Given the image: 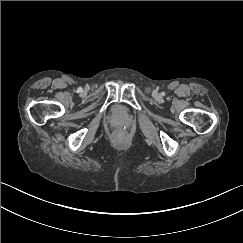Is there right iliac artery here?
Here are the masks:
<instances>
[{
  "label": "right iliac artery",
  "mask_w": 243,
  "mask_h": 243,
  "mask_svg": "<svg viewBox=\"0 0 243 243\" xmlns=\"http://www.w3.org/2000/svg\"><path fill=\"white\" fill-rule=\"evenodd\" d=\"M78 91H81V88H78Z\"/></svg>",
  "instance_id": "82829eb1"
}]
</instances>
